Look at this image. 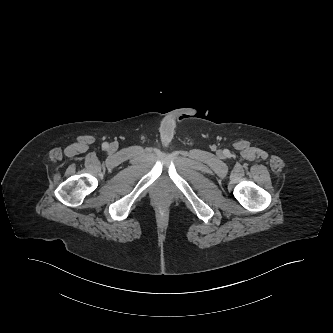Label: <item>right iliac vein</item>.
Masks as SVG:
<instances>
[{
  "label": "right iliac vein",
  "mask_w": 333,
  "mask_h": 333,
  "mask_svg": "<svg viewBox=\"0 0 333 333\" xmlns=\"http://www.w3.org/2000/svg\"><path fill=\"white\" fill-rule=\"evenodd\" d=\"M110 148H111V149H115L116 146H115L114 144H112V145L110 146Z\"/></svg>",
  "instance_id": "right-iliac-vein-1"
}]
</instances>
